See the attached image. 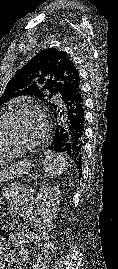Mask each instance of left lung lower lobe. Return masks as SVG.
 Masks as SVG:
<instances>
[{
	"label": "left lung lower lobe",
	"instance_id": "1",
	"mask_svg": "<svg viewBox=\"0 0 118 269\" xmlns=\"http://www.w3.org/2000/svg\"><path fill=\"white\" fill-rule=\"evenodd\" d=\"M52 112L56 118L55 134L46 148L66 154L81 168L84 140V99L81 89L61 98Z\"/></svg>",
	"mask_w": 118,
	"mask_h": 269
}]
</instances>
